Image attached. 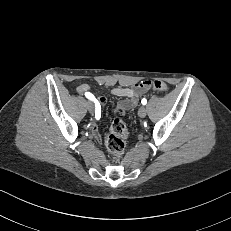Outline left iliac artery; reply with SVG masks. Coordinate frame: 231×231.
Here are the masks:
<instances>
[{"instance_id": "left-iliac-artery-1", "label": "left iliac artery", "mask_w": 231, "mask_h": 231, "mask_svg": "<svg viewBox=\"0 0 231 231\" xmlns=\"http://www.w3.org/2000/svg\"><path fill=\"white\" fill-rule=\"evenodd\" d=\"M141 103L145 105L147 103V100L145 98L142 99Z\"/></svg>"}]
</instances>
